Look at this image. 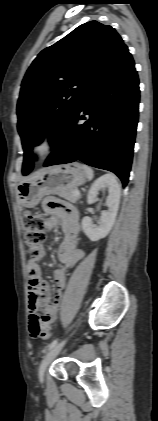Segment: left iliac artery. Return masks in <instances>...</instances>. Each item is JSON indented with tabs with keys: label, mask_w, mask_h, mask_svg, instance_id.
<instances>
[{
	"label": "left iliac artery",
	"mask_w": 158,
	"mask_h": 421,
	"mask_svg": "<svg viewBox=\"0 0 158 421\" xmlns=\"http://www.w3.org/2000/svg\"><path fill=\"white\" fill-rule=\"evenodd\" d=\"M57 343H58V340H57V339L53 340V341L49 344V346H48V350H51L53 347H55V346L57 345Z\"/></svg>",
	"instance_id": "1"
}]
</instances>
